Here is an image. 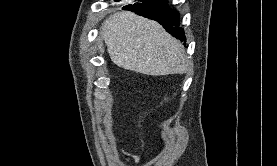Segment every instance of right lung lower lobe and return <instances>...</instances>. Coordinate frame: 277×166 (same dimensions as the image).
I'll use <instances>...</instances> for the list:
<instances>
[{
    "label": "right lung lower lobe",
    "mask_w": 277,
    "mask_h": 166,
    "mask_svg": "<svg viewBox=\"0 0 277 166\" xmlns=\"http://www.w3.org/2000/svg\"><path fill=\"white\" fill-rule=\"evenodd\" d=\"M124 9L158 21L171 35L186 41L184 31L179 27V14L168 7L166 0H136L133 5H127Z\"/></svg>",
    "instance_id": "right-lung-lower-lobe-1"
}]
</instances>
